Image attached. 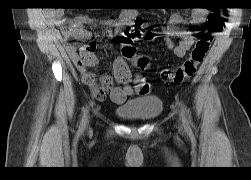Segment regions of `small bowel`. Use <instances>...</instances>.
Listing matches in <instances>:
<instances>
[{
  "label": "small bowel",
  "instance_id": "obj_1",
  "mask_svg": "<svg viewBox=\"0 0 251 180\" xmlns=\"http://www.w3.org/2000/svg\"><path fill=\"white\" fill-rule=\"evenodd\" d=\"M207 10L204 8H195L189 19L184 18L180 13H174L164 30L167 47L178 58H183L194 43V37L191 31L181 28L182 24H189L199 27L206 21ZM139 12L136 9H124L115 20H105L103 23L113 27L115 32L121 31L126 26L138 21ZM48 20L52 25L67 23L62 28L63 41L65 49L69 56L76 63L80 72L81 79L88 86L92 95L98 100H104L109 95L110 99L121 104L128 97L134 95L145 96L150 93V84L143 79H132L131 71L123 57L118 56L113 64V75L103 74L97 82L95 76L88 70L97 64L95 55L96 46L90 42L80 48L77 52L76 46L70 41L90 40L92 34L85 27L91 20L83 15H76L71 19L64 18L62 10H54L48 13ZM179 39L175 44L173 39Z\"/></svg>",
  "mask_w": 251,
  "mask_h": 180
}]
</instances>
